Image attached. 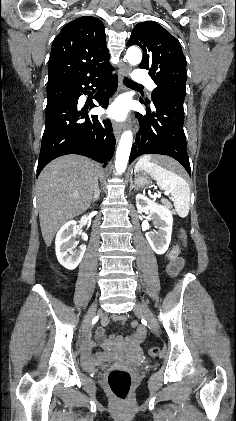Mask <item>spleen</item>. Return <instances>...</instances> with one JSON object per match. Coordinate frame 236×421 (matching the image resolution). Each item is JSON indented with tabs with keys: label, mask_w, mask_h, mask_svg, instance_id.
Returning a JSON list of instances; mask_svg holds the SVG:
<instances>
[{
	"label": "spleen",
	"mask_w": 236,
	"mask_h": 421,
	"mask_svg": "<svg viewBox=\"0 0 236 421\" xmlns=\"http://www.w3.org/2000/svg\"><path fill=\"white\" fill-rule=\"evenodd\" d=\"M139 170H146L156 180L161 190L170 192L177 215L182 219L187 217L190 208V188L185 178L168 170L167 164L153 160L151 154H145L139 158L135 164V172H139Z\"/></svg>",
	"instance_id": "spleen-1"
}]
</instances>
